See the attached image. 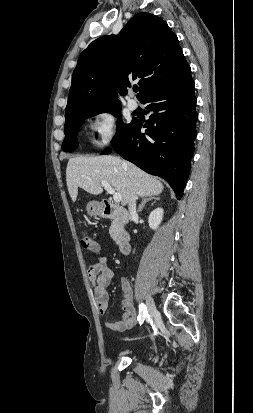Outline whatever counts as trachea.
Here are the masks:
<instances>
[{"instance_id":"obj_1","label":"trachea","mask_w":253,"mask_h":413,"mask_svg":"<svg viewBox=\"0 0 253 413\" xmlns=\"http://www.w3.org/2000/svg\"><path fill=\"white\" fill-rule=\"evenodd\" d=\"M133 90H134V92H137L139 90V88L135 87Z\"/></svg>"}]
</instances>
